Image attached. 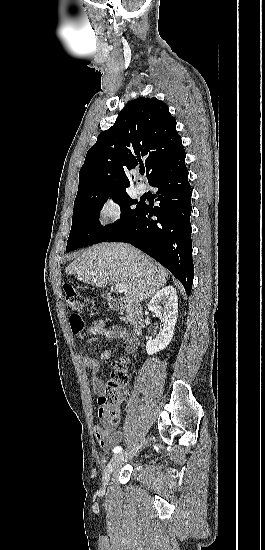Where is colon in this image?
<instances>
[{
  "mask_svg": "<svg viewBox=\"0 0 265 550\" xmlns=\"http://www.w3.org/2000/svg\"><path fill=\"white\" fill-rule=\"evenodd\" d=\"M63 290L67 308L71 312L70 324L74 334H76L82 331L85 326L83 316L81 315L86 304L85 297L70 282L64 283ZM125 364V359L114 363V370L111 373L110 380L105 385L99 400L100 410L109 424H118L120 422L119 405L129 383Z\"/></svg>",
  "mask_w": 265,
  "mask_h": 550,
  "instance_id": "5ec220e1",
  "label": "colon"
}]
</instances>
